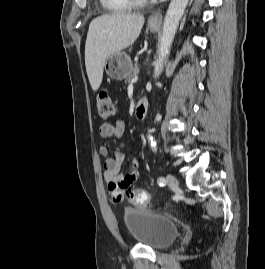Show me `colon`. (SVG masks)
I'll return each instance as SVG.
<instances>
[{"label": "colon", "mask_w": 265, "mask_h": 269, "mask_svg": "<svg viewBox=\"0 0 265 269\" xmlns=\"http://www.w3.org/2000/svg\"><path fill=\"white\" fill-rule=\"evenodd\" d=\"M96 103L98 115L102 120H109L115 116L116 106L108 91H101L97 96ZM111 192L121 194L120 189L116 188H111ZM127 199L130 203L141 207L148 206L151 203V195L142 189L131 190L127 194Z\"/></svg>", "instance_id": "5ec220e1"}]
</instances>
